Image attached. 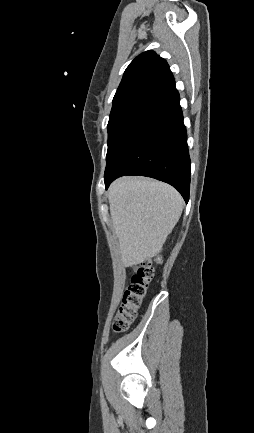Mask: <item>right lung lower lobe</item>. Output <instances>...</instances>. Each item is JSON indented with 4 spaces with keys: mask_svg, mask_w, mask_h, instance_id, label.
<instances>
[{
    "mask_svg": "<svg viewBox=\"0 0 254 433\" xmlns=\"http://www.w3.org/2000/svg\"><path fill=\"white\" fill-rule=\"evenodd\" d=\"M179 101L173 81L133 113L107 160L106 189L120 176L142 175L169 183L188 202L190 157Z\"/></svg>",
    "mask_w": 254,
    "mask_h": 433,
    "instance_id": "1",
    "label": "right lung lower lobe"
}]
</instances>
